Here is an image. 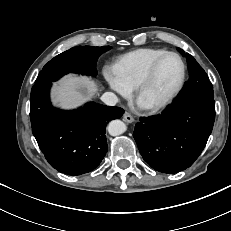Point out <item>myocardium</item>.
<instances>
[{
    "label": "myocardium",
    "mask_w": 231,
    "mask_h": 231,
    "mask_svg": "<svg viewBox=\"0 0 231 231\" xmlns=\"http://www.w3.org/2000/svg\"><path fill=\"white\" fill-rule=\"evenodd\" d=\"M169 56H175L179 59L180 63H181V76L180 79L177 83V85L173 88V90L171 92H169L165 97H163L161 100L153 102V103H148V104H142L141 103V97L144 93V91L146 90V88L149 86V84L151 83L159 65L161 64V62L166 59ZM185 79H186V64L184 59L182 58V56L176 52L173 51H167L166 53H164L163 55H161L160 57H158L152 64L151 66L148 68V70L146 71V73L144 74V76L142 77V79L139 81V83L136 85L135 87V96L136 99L138 100V102L142 105V107L146 110L149 111H157L160 110L164 107H166L167 105H169L174 99L175 97L179 94V92L181 91V89L183 88V85L185 83Z\"/></svg>",
    "instance_id": "1"
}]
</instances>
